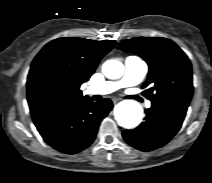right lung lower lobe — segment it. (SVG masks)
Segmentation results:
<instances>
[{"mask_svg": "<svg viewBox=\"0 0 212 183\" xmlns=\"http://www.w3.org/2000/svg\"><path fill=\"white\" fill-rule=\"evenodd\" d=\"M110 99L99 103L90 100L80 103L55 102L32 113L43 139L56 150L78 153L92 144L100 122L111 111Z\"/></svg>", "mask_w": 212, "mask_h": 183, "instance_id": "1", "label": "right lung lower lobe"}]
</instances>
